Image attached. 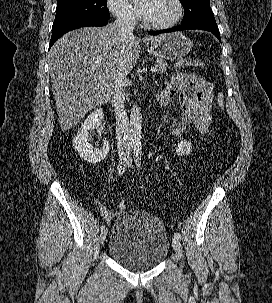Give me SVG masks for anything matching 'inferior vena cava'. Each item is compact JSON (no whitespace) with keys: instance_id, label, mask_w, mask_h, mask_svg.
<instances>
[{"instance_id":"1","label":"inferior vena cava","mask_w":272,"mask_h":303,"mask_svg":"<svg viewBox=\"0 0 272 303\" xmlns=\"http://www.w3.org/2000/svg\"><path fill=\"white\" fill-rule=\"evenodd\" d=\"M114 26L123 38L133 36L134 21L129 16H120ZM128 85L127 75L123 71L121 61L117 63V73L114 77L112 103L115 109L117 151L120 159L130 158V129L129 119L125 109V88Z\"/></svg>"}]
</instances>
